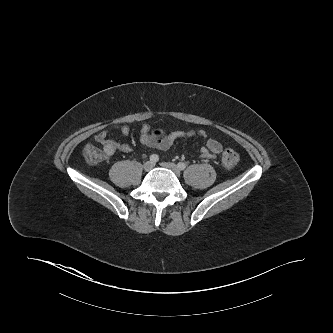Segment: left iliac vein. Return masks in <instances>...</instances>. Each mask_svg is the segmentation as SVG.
<instances>
[{"mask_svg":"<svg viewBox=\"0 0 333 333\" xmlns=\"http://www.w3.org/2000/svg\"><path fill=\"white\" fill-rule=\"evenodd\" d=\"M160 165L164 168H167V169H170L171 171H173V173L176 176L180 175V169L178 168L177 165H175L173 163H169V162H162Z\"/></svg>","mask_w":333,"mask_h":333,"instance_id":"left-iliac-vein-1","label":"left iliac vein"}]
</instances>
